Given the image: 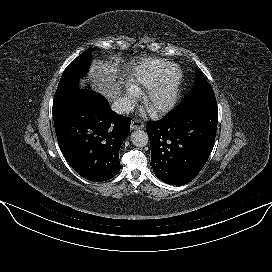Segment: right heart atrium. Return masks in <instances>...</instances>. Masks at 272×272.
Wrapping results in <instances>:
<instances>
[{
  "label": "right heart atrium",
  "mask_w": 272,
  "mask_h": 272,
  "mask_svg": "<svg viewBox=\"0 0 272 272\" xmlns=\"http://www.w3.org/2000/svg\"><path fill=\"white\" fill-rule=\"evenodd\" d=\"M136 93L129 90L126 95H125V105L126 107H130L131 104L133 103L134 97H135Z\"/></svg>",
  "instance_id": "1"
}]
</instances>
